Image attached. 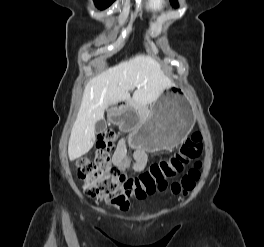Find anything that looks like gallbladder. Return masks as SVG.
Returning a JSON list of instances; mask_svg holds the SVG:
<instances>
[{
  "label": "gallbladder",
  "instance_id": "bac80fb5",
  "mask_svg": "<svg viewBox=\"0 0 264 247\" xmlns=\"http://www.w3.org/2000/svg\"><path fill=\"white\" fill-rule=\"evenodd\" d=\"M95 125V133H101L106 128V121L104 119L97 120Z\"/></svg>",
  "mask_w": 264,
  "mask_h": 247
}]
</instances>
